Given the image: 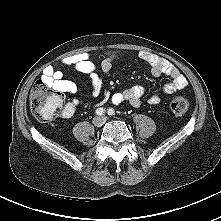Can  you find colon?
<instances>
[{"label":"colon","mask_w":221,"mask_h":221,"mask_svg":"<svg viewBox=\"0 0 221 221\" xmlns=\"http://www.w3.org/2000/svg\"><path fill=\"white\" fill-rule=\"evenodd\" d=\"M64 97L60 91L53 90L44 83L36 84L30 93V109L40 121H50L63 112ZM170 108L176 115H183L189 109V103L182 97H175Z\"/></svg>","instance_id":"1"}]
</instances>
